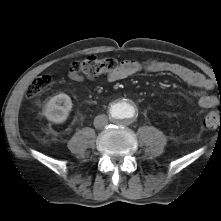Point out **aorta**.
Listing matches in <instances>:
<instances>
[{"label": "aorta", "mask_w": 221, "mask_h": 221, "mask_svg": "<svg viewBox=\"0 0 221 221\" xmlns=\"http://www.w3.org/2000/svg\"><path fill=\"white\" fill-rule=\"evenodd\" d=\"M109 114L111 119L116 123L127 125L136 119L138 108L136 104L129 99H119L111 105Z\"/></svg>", "instance_id": "1"}]
</instances>
